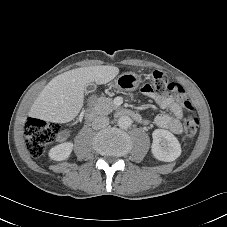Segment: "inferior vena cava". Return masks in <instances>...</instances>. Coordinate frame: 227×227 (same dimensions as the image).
I'll list each match as a JSON object with an SVG mask.
<instances>
[{
  "label": "inferior vena cava",
  "instance_id": "602c4592",
  "mask_svg": "<svg viewBox=\"0 0 227 227\" xmlns=\"http://www.w3.org/2000/svg\"><path fill=\"white\" fill-rule=\"evenodd\" d=\"M109 124V118L106 116H97L92 122L93 129H100Z\"/></svg>",
  "mask_w": 227,
  "mask_h": 227
}]
</instances>
